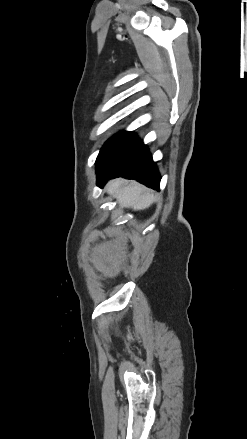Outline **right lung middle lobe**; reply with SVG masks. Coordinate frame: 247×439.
Here are the masks:
<instances>
[{
    "instance_id": "dd1d6c3e",
    "label": "right lung middle lobe",
    "mask_w": 247,
    "mask_h": 439,
    "mask_svg": "<svg viewBox=\"0 0 247 439\" xmlns=\"http://www.w3.org/2000/svg\"><path fill=\"white\" fill-rule=\"evenodd\" d=\"M134 135V132L122 131L109 139L100 150L96 160V167L100 166L114 151L120 149L132 140Z\"/></svg>"
}]
</instances>
